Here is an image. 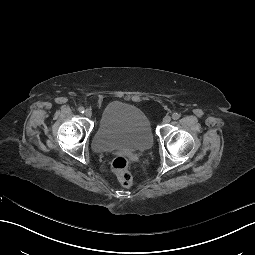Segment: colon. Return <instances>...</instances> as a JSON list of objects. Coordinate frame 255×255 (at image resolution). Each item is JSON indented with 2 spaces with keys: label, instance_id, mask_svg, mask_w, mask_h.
Instances as JSON below:
<instances>
[{
  "label": "colon",
  "instance_id": "5ec220e1",
  "mask_svg": "<svg viewBox=\"0 0 255 255\" xmlns=\"http://www.w3.org/2000/svg\"><path fill=\"white\" fill-rule=\"evenodd\" d=\"M128 165L129 161L123 155L115 157L111 162L112 171L124 187H130L133 184V178L131 173L128 171Z\"/></svg>",
  "mask_w": 255,
  "mask_h": 255
}]
</instances>
